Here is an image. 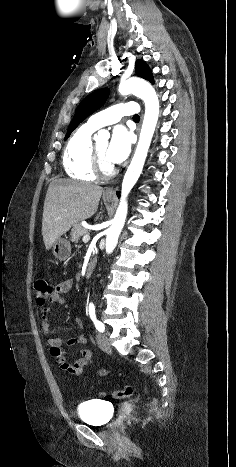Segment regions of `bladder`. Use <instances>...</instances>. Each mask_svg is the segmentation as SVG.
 <instances>
[{
    "instance_id": "31cf9c89",
    "label": "bladder",
    "mask_w": 236,
    "mask_h": 467,
    "mask_svg": "<svg viewBox=\"0 0 236 467\" xmlns=\"http://www.w3.org/2000/svg\"><path fill=\"white\" fill-rule=\"evenodd\" d=\"M113 405L101 399H92L83 402L77 408V417L91 425H105L108 423L107 415L112 411Z\"/></svg>"
}]
</instances>
